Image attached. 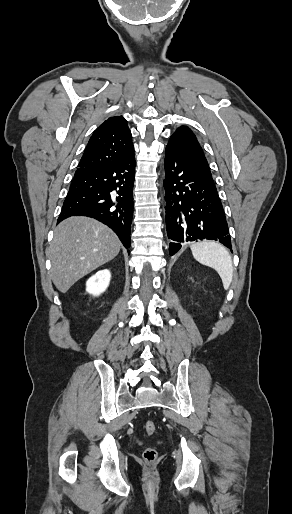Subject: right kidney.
<instances>
[{"label": "right kidney", "instance_id": "obj_1", "mask_svg": "<svg viewBox=\"0 0 292 514\" xmlns=\"http://www.w3.org/2000/svg\"><path fill=\"white\" fill-rule=\"evenodd\" d=\"M111 274L109 270H100L94 276H91L86 282V292L93 294V296H100L102 292H105L109 286Z\"/></svg>", "mask_w": 292, "mask_h": 514}]
</instances>
